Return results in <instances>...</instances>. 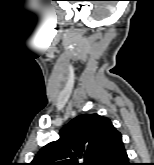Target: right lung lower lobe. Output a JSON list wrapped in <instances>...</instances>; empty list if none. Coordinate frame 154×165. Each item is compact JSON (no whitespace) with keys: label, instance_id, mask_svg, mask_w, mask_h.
<instances>
[{"label":"right lung lower lobe","instance_id":"obj_1","mask_svg":"<svg viewBox=\"0 0 154 165\" xmlns=\"http://www.w3.org/2000/svg\"><path fill=\"white\" fill-rule=\"evenodd\" d=\"M123 147L121 134L116 136L108 146L106 154L98 165H130Z\"/></svg>","mask_w":154,"mask_h":165}]
</instances>
